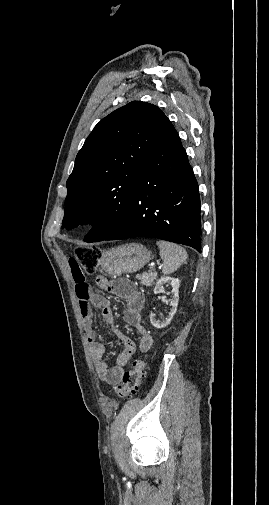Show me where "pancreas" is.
Wrapping results in <instances>:
<instances>
[{
	"mask_svg": "<svg viewBox=\"0 0 269 505\" xmlns=\"http://www.w3.org/2000/svg\"><path fill=\"white\" fill-rule=\"evenodd\" d=\"M157 278V273L148 271L144 272L141 275H137V279L141 281V284L144 286H151L154 280Z\"/></svg>",
	"mask_w": 269,
	"mask_h": 505,
	"instance_id": "obj_1",
	"label": "pancreas"
}]
</instances>
